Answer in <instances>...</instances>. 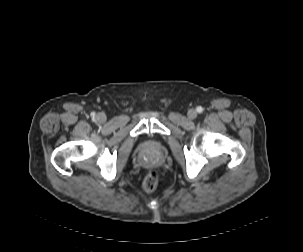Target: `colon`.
<instances>
[{
    "label": "colon",
    "mask_w": 303,
    "mask_h": 252,
    "mask_svg": "<svg viewBox=\"0 0 303 252\" xmlns=\"http://www.w3.org/2000/svg\"><path fill=\"white\" fill-rule=\"evenodd\" d=\"M159 182V174L157 171H150L143 179L142 187L146 192H152L156 189Z\"/></svg>",
    "instance_id": "colon-1"
}]
</instances>
